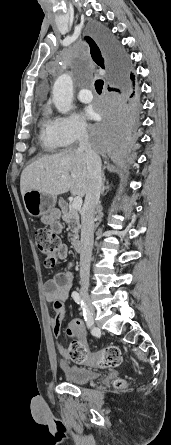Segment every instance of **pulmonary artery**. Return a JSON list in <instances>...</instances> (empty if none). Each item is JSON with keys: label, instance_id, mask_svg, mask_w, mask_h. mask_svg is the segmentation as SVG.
Instances as JSON below:
<instances>
[{"label": "pulmonary artery", "instance_id": "obj_1", "mask_svg": "<svg viewBox=\"0 0 171 445\" xmlns=\"http://www.w3.org/2000/svg\"><path fill=\"white\" fill-rule=\"evenodd\" d=\"M78 99L83 103H89L93 99V95L89 89H82L78 93Z\"/></svg>", "mask_w": 171, "mask_h": 445}]
</instances>
